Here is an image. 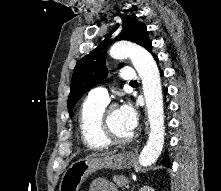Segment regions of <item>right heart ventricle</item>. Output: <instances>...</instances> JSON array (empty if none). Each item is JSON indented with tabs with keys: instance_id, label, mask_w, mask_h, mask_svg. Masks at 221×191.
I'll return each instance as SVG.
<instances>
[{
	"instance_id": "e07e8e85",
	"label": "right heart ventricle",
	"mask_w": 221,
	"mask_h": 191,
	"mask_svg": "<svg viewBox=\"0 0 221 191\" xmlns=\"http://www.w3.org/2000/svg\"><path fill=\"white\" fill-rule=\"evenodd\" d=\"M106 106V102L87 97L80 107L79 129L82 141L89 149L103 150L112 145L104 135L102 124Z\"/></svg>"
}]
</instances>
